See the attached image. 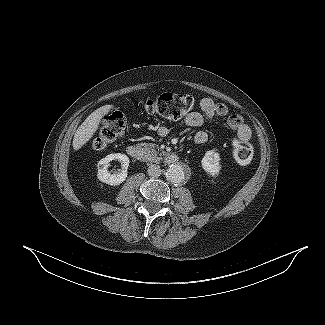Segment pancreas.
Instances as JSON below:
<instances>
[{"mask_svg":"<svg viewBox=\"0 0 325 325\" xmlns=\"http://www.w3.org/2000/svg\"><path fill=\"white\" fill-rule=\"evenodd\" d=\"M141 146L143 147L145 153H146V157L148 160L150 161H160L161 160V156H165L166 152L165 151H161L159 149V147L155 144L152 143H141ZM160 156V157H158Z\"/></svg>","mask_w":325,"mask_h":325,"instance_id":"cf45deb5","label":"pancreas"}]
</instances>
